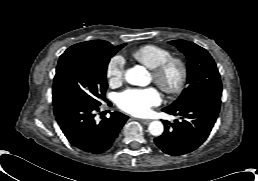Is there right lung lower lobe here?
<instances>
[{"mask_svg": "<svg viewBox=\"0 0 258 181\" xmlns=\"http://www.w3.org/2000/svg\"><path fill=\"white\" fill-rule=\"evenodd\" d=\"M53 106L57 122L68 141L92 154L107 151L128 119V116L115 112L110 118L96 123L94 117L99 108L74 100H61Z\"/></svg>", "mask_w": 258, "mask_h": 181, "instance_id": "98d812e1", "label": "right lung lower lobe"}]
</instances>
